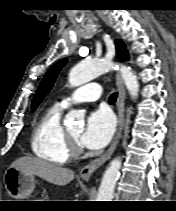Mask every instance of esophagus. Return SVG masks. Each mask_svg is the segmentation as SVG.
<instances>
[{
  "instance_id": "obj_1",
  "label": "esophagus",
  "mask_w": 176,
  "mask_h": 211,
  "mask_svg": "<svg viewBox=\"0 0 176 211\" xmlns=\"http://www.w3.org/2000/svg\"><path fill=\"white\" fill-rule=\"evenodd\" d=\"M116 83L118 87V98H117V113H118V127L115 134V137L108 148V150L101 155L100 157L94 159L90 163H88L86 166H84L80 170V176L84 180H88L91 175L94 173L95 170H97L101 165H103L113 154L115 151L120 138L122 136L123 128H124V122H125V88L122 81V78L119 74H117L116 77Z\"/></svg>"
}]
</instances>
